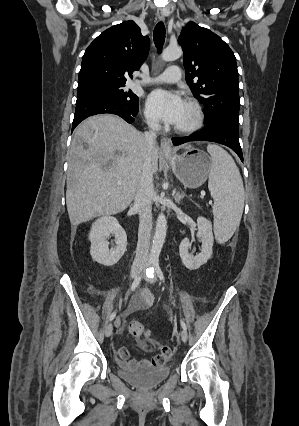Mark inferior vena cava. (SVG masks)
I'll list each match as a JSON object with an SVG mask.
<instances>
[{
	"mask_svg": "<svg viewBox=\"0 0 299 426\" xmlns=\"http://www.w3.org/2000/svg\"><path fill=\"white\" fill-rule=\"evenodd\" d=\"M149 131L144 133L146 155L134 198V208L139 214L138 242L133 268L145 266L149 260V247L152 229V198L154 193L151 154L156 144V133L160 129L158 121L147 120Z\"/></svg>",
	"mask_w": 299,
	"mask_h": 426,
	"instance_id": "inferior-vena-cava-1",
	"label": "inferior vena cava"
}]
</instances>
